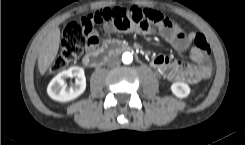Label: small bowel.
<instances>
[{
    "instance_id": "1",
    "label": "small bowel",
    "mask_w": 245,
    "mask_h": 145,
    "mask_svg": "<svg viewBox=\"0 0 245 145\" xmlns=\"http://www.w3.org/2000/svg\"><path fill=\"white\" fill-rule=\"evenodd\" d=\"M103 28L107 33L114 31V26L108 22L104 24ZM137 33L149 34L150 31H137ZM159 34L169 45L179 52L186 50L195 36L194 32L185 33L183 26H179L178 28L174 26H163L159 30ZM190 57L195 63L194 65L184 64L178 60L173 61L162 55L155 57L152 65L169 81L185 79L190 83H197L205 78L204 70L208 60L196 48H192Z\"/></svg>"
}]
</instances>
